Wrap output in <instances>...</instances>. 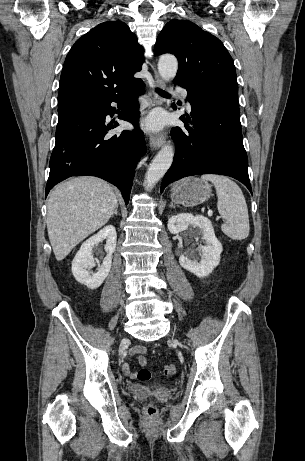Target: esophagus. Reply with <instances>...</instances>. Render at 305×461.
<instances>
[{
    "label": "esophagus",
    "instance_id": "esophagus-1",
    "mask_svg": "<svg viewBox=\"0 0 305 461\" xmlns=\"http://www.w3.org/2000/svg\"><path fill=\"white\" fill-rule=\"evenodd\" d=\"M154 82H155V86L156 88H159V89H164L165 88V84L163 82V80L159 77L158 73L155 71V75H154ZM153 101H154V104L155 105H160L163 103V99L156 93L154 92V98H153ZM165 139H166V133H162V134H159V135H152L150 137V146L155 148V149H158L160 147H162L165 143Z\"/></svg>",
    "mask_w": 305,
    "mask_h": 461
}]
</instances>
